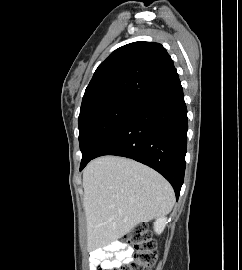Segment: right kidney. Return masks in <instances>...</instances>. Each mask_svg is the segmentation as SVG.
I'll list each match as a JSON object with an SVG mask.
<instances>
[{
	"label": "right kidney",
	"instance_id": "right-kidney-1",
	"mask_svg": "<svg viewBox=\"0 0 242 270\" xmlns=\"http://www.w3.org/2000/svg\"><path fill=\"white\" fill-rule=\"evenodd\" d=\"M167 219L165 217H159L157 220L154 222V231L157 234H161L165 228Z\"/></svg>",
	"mask_w": 242,
	"mask_h": 270
}]
</instances>
